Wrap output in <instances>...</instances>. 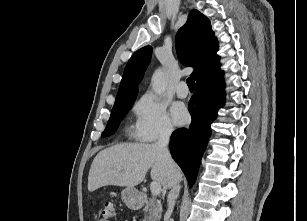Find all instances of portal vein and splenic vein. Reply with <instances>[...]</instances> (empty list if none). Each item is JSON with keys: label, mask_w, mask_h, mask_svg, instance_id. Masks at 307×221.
I'll use <instances>...</instances> for the list:
<instances>
[{"label": "portal vein and splenic vein", "mask_w": 307, "mask_h": 221, "mask_svg": "<svg viewBox=\"0 0 307 221\" xmlns=\"http://www.w3.org/2000/svg\"><path fill=\"white\" fill-rule=\"evenodd\" d=\"M150 190H151L152 195L154 196L159 195L162 190L160 183L155 182V181L151 182Z\"/></svg>", "instance_id": "1"}]
</instances>
